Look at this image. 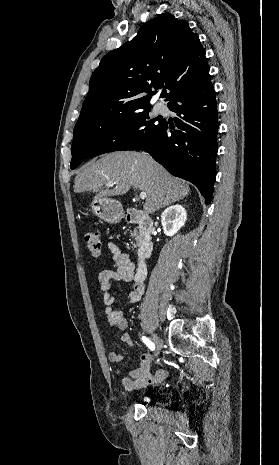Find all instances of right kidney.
Wrapping results in <instances>:
<instances>
[{"label": "right kidney", "mask_w": 279, "mask_h": 465, "mask_svg": "<svg viewBox=\"0 0 279 465\" xmlns=\"http://www.w3.org/2000/svg\"><path fill=\"white\" fill-rule=\"evenodd\" d=\"M187 212L182 205L176 204L168 207L161 215V223L165 235H175L184 226Z\"/></svg>", "instance_id": "right-kidney-1"}]
</instances>
